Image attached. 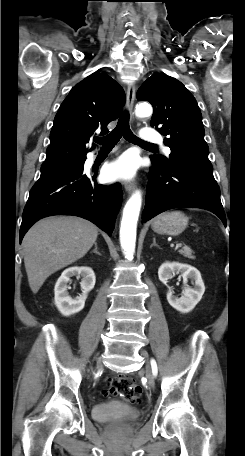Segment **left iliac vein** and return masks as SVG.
Returning a JSON list of instances; mask_svg holds the SVG:
<instances>
[{"mask_svg": "<svg viewBox=\"0 0 245 456\" xmlns=\"http://www.w3.org/2000/svg\"><path fill=\"white\" fill-rule=\"evenodd\" d=\"M141 355H142L144 358L148 359V353H147L146 351L142 350V351H141ZM146 377H147V379H148V385H149L150 387H154L155 382H154V377H153V374H152V372H151L150 367H148L147 370H146Z\"/></svg>", "mask_w": 245, "mask_h": 456, "instance_id": "4c4485c4", "label": "left iliac vein"}]
</instances>
